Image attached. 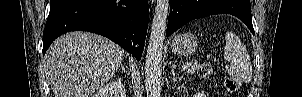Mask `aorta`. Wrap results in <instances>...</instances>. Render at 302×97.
Segmentation results:
<instances>
[{"instance_id": "762f6f07", "label": "aorta", "mask_w": 302, "mask_h": 97, "mask_svg": "<svg viewBox=\"0 0 302 97\" xmlns=\"http://www.w3.org/2000/svg\"><path fill=\"white\" fill-rule=\"evenodd\" d=\"M169 0H157L146 53L147 97H160L162 50L167 26Z\"/></svg>"}]
</instances>
